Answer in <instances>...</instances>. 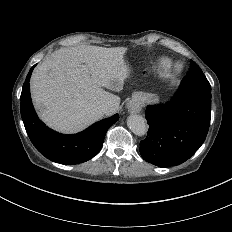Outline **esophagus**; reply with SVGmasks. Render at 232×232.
Masks as SVG:
<instances>
[{
    "label": "esophagus",
    "mask_w": 232,
    "mask_h": 232,
    "mask_svg": "<svg viewBox=\"0 0 232 232\" xmlns=\"http://www.w3.org/2000/svg\"><path fill=\"white\" fill-rule=\"evenodd\" d=\"M128 111L131 113H139L141 111V103L140 98L134 96L128 103H127Z\"/></svg>",
    "instance_id": "obj_1"
}]
</instances>
